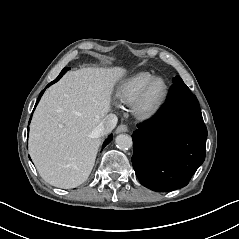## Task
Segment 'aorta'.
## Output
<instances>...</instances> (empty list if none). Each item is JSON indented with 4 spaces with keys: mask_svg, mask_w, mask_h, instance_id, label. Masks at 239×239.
Here are the masks:
<instances>
[{
    "mask_svg": "<svg viewBox=\"0 0 239 239\" xmlns=\"http://www.w3.org/2000/svg\"><path fill=\"white\" fill-rule=\"evenodd\" d=\"M116 146L121 150H127L133 146L132 137L130 135L120 134L115 139Z\"/></svg>",
    "mask_w": 239,
    "mask_h": 239,
    "instance_id": "762f6f07",
    "label": "aorta"
}]
</instances>
